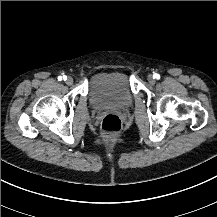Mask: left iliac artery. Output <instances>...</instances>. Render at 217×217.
<instances>
[{
  "mask_svg": "<svg viewBox=\"0 0 217 217\" xmlns=\"http://www.w3.org/2000/svg\"><path fill=\"white\" fill-rule=\"evenodd\" d=\"M153 77L156 78V79H160V75L157 74V73H155V74L153 75Z\"/></svg>",
  "mask_w": 217,
  "mask_h": 217,
  "instance_id": "obj_1",
  "label": "left iliac artery"
}]
</instances>
